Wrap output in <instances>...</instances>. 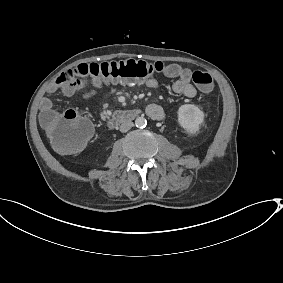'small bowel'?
Returning a JSON list of instances; mask_svg holds the SVG:
<instances>
[{"mask_svg":"<svg viewBox=\"0 0 283 283\" xmlns=\"http://www.w3.org/2000/svg\"><path fill=\"white\" fill-rule=\"evenodd\" d=\"M163 73L166 77L174 79L172 89L175 93L183 94L188 98H193L197 94L195 86L191 83L192 72L190 69L184 68L179 64L172 63L164 67ZM146 85L152 89H158L160 83L156 78H149L146 80ZM87 85L86 81L78 80L74 82L63 81L59 76L53 83H51L47 90L46 96L42 98L40 107L42 112L55 111L53 103L49 96L55 93H61L65 96H72L75 92L85 88ZM114 90H110L108 93L102 95L100 98L103 100L108 94L112 93ZM98 95L97 89H91L83 94L85 100H90ZM146 114L157 121H163L165 119V112L160 105L151 103L146 106Z\"/></svg>","mask_w":283,"mask_h":283,"instance_id":"c3829d8e","label":"small bowel"}]
</instances>
